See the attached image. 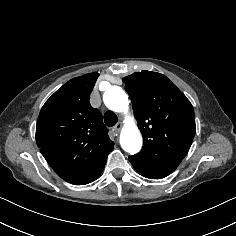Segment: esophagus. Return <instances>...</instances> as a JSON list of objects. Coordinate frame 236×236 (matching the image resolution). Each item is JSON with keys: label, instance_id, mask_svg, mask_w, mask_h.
<instances>
[{"label": "esophagus", "instance_id": "34e87169", "mask_svg": "<svg viewBox=\"0 0 236 236\" xmlns=\"http://www.w3.org/2000/svg\"><path fill=\"white\" fill-rule=\"evenodd\" d=\"M122 127V123H118L115 127H114V131L115 132H119L121 130Z\"/></svg>", "mask_w": 236, "mask_h": 236}]
</instances>
